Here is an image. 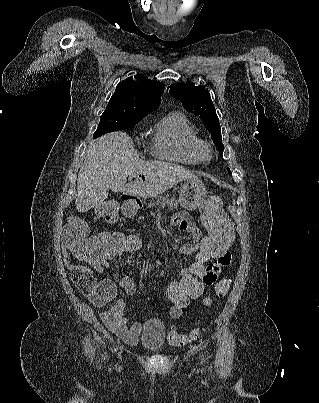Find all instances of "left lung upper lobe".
I'll return each mask as SVG.
<instances>
[{
    "instance_id": "left-lung-upper-lobe-1",
    "label": "left lung upper lobe",
    "mask_w": 319,
    "mask_h": 403,
    "mask_svg": "<svg viewBox=\"0 0 319 403\" xmlns=\"http://www.w3.org/2000/svg\"><path fill=\"white\" fill-rule=\"evenodd\" d=\"M168 88L172 97L180 100L186 110L199 116L204 122L222 156L224 145L222 143L221 127L208 90L204 86H195L193 83H176ZM228 171L231 174L229 169Z\"/></svg>"
}]
</instances>
